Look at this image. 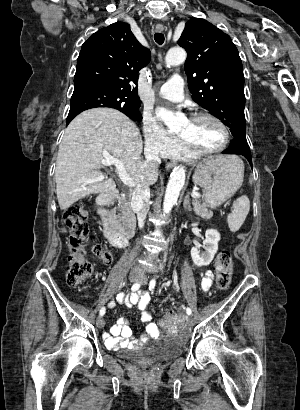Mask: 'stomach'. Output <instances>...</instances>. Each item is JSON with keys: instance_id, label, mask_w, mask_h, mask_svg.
Masks as SVG:
<instances>
[{"instance_id": "stomach-1", "label": "stomach", "mask_w": 300, "mask_h": 410, "mask_svg": "<svg viewBox=\"0 0 300 410\" xmlns=\"http://www.w3.org/2000/svg\"><path fill=\"white\" fill-rule=\"evenodd\" d=\"M244 166L236 156H214L197 166L195 184L203 188L206 202L215 207L231 197L242 185Z\"/></svg>"}]
</instances>
